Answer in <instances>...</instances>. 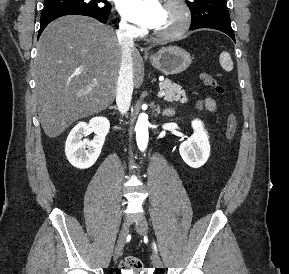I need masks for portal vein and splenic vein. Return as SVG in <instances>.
I'll return each instance as SVG.
<instances>
[{"label": "portal vein and splenic vein", "instance_id": "1", "mask_svg": "<svg viewBox=\"0 0 289 274\" xmlns=\"http://www.w3.org/2000/svg\"><path fill=\"white\" fill-rule=\"evenodd\" d=\"M164 95H165V92L159 91V93H158V96H159V97H162V96H164Z\"/></svg>", "mask_w": 289, "mask_h": 274}]
</instances>
